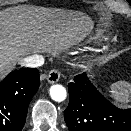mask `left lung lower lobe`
I'll list each match as a JSON object with an SVG mask.
<instances>
[{"label": "left lung lower lobe", "instance_id": "obj_1", "mask_svg": "<svg viewBox=\"0 0 131 131\" xmlns=\"http://www.w3.org/2000/svg\"><path fill=\"white\" fill-rule=\"evenodd\" d=\"M64 119L69 131H131V109H118L90 82L86 73L69 83Z\"/></svg>", "mask_w": 131, "mask_h": 131}]
</instances>
